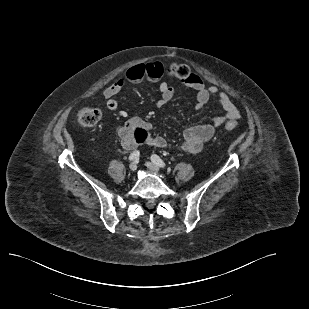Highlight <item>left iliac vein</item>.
I'll return each mask as SVG.
<instances>
[{"label": "left iliac vein", "mask_w": 309, "mask_h": 309, "mask_svg": "<svg viewBox=\"0 0 309 309\" xmlns=\"http://www.w3.org/2000/svg\"><path fill=\"white\" fill-rule=\"evenodd\" d=\"M146 166H147V168H148L150 171H152V172H154V173H158V172H159V167H158L157 165H155L154 163L147 162V163H146Z\"/></svg>", "instance_id": "left-iliac-vein-1"}]
</instances>
